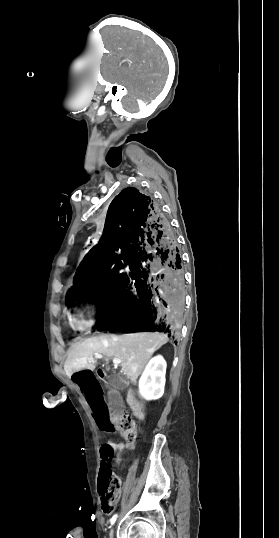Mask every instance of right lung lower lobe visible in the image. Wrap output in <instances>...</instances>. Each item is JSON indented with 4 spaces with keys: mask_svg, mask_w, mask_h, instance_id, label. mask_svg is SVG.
I'll list each match as a JSON object with an SVG mask.
<instances>
[{
    "mask_svg": "<svg viewBox=\"0 0 279 538\" xmlns=\"http://www.w3.org/2000/svg\"><path fill=\"white\" fill-rule=\"evenodd\" d=\"M184 298L182 259L169 220L149 196L134 187L123 189L110 204L103 236L81 262L67 299H95L98 331L171 336L182 322Z\"/></svg>",
    "mask_w": 279,
    "mask_h": 538,
    "instance_id": "right-lung-lower-lobe-1",
    "label": "right lung lower lobe"
}]
</instances>
